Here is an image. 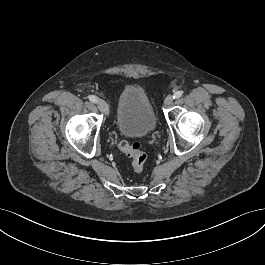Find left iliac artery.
Instances as JSON below:
<instances>
[{
	"label": "left iliac artery",
	"mask_w": 265,
	"mask_h": 265,
	"mask_svg": "<svg viewBox=\"0 0 265 265\" xmlns=\"http://www.w3.org/2000/svg\"><path fill=\"white\" fill-rule=\"evenodd\" d=\"M183 95V91H177L174 93L173 98L178 99Z\"/></svg>",
	"instance_id": "left-iliac-artery-1"
}]
</instances>
